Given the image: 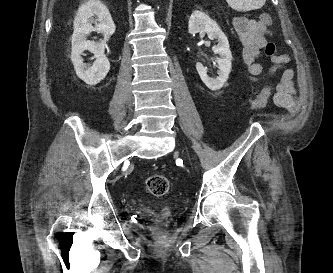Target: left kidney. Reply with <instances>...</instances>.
I'll use <instances>...</instances> for the list:
<instances>
[{"mask_svg":"<svg viewBox=\"0 0 333 273\" xmlns=\"http://www.w3.org/2000/svg\"><path fill=\"white\" fill-rule=\"evenodd\" d=\"M188 30L192 35L206 32L209 39L218 40V44L212 47L213 52L220 56L219 58H216L218 64V77L210 78L207 75L206 68L200 63L196 64V70L201 80L209 89L213 91L221 89L227 81L232 67V54L226 35L222 32L217 23L202 11H194L191 14Z\"/></svg>","mask_w":333,"mask_h":273,"instance_id":"obj_1","label":"left kidney"}]
</instances>
